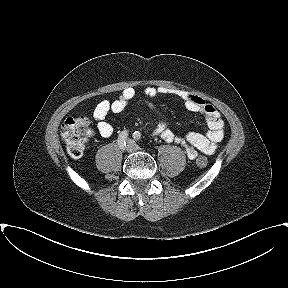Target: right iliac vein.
<instances>
[{"instance_id":"1","label":"right iliac vein","mask_w":288,"mask_h":288,"mask_svg":"<svg viewBox=\"0 0 288 288\" xmlns=\"http://www.w3.org/2000/svg\"><path fill=\"white\" fill-rule=\"evenodd\" d=\"M125 150L128 151V152H132L134 150V145L132 142H128L127 143V146L125 147Z\"/></svg>"}]
</instances>
